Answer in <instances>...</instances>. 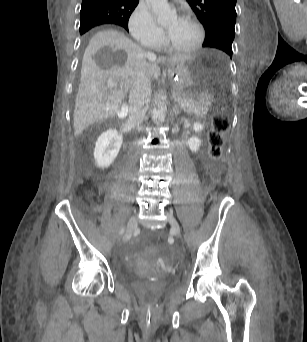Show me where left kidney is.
Instances as JSON below:
<instances>
[{"instance_id":"5707ae66","label":"left kidney","mask_w":307,"mask_h":342,"mask_svg":"<svg viewBox=\"0 0 307 342\" xmlns=\"http://www.w3.org/2000/svg\"><path fill=\"white\" fill-rule=\"evenodd\" d=\"M203 128L204 126H202V124H199V122H195V124H193L194 132H202ZM187 144L191 152H198L201 146V140H199V138H196V136H192V138H189Z\"/></svg>"}]
</instances>
